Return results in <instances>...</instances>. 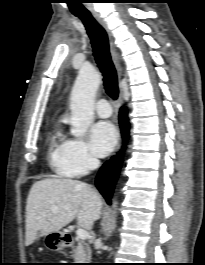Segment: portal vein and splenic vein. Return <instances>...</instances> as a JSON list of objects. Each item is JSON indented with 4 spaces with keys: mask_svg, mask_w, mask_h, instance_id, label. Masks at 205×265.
<instances>
[{
    "mask_svg": "<svg viewBox=\"0 0 205 265\" xmlns=\"http://www.w3.org/2000/svg\"><path fill=\"white\" fill-rule=\"evenodd\" d=\"M76 234L80 240H85L89 236L88 232L84 229H78Z\"/></svg>",
    "mask_w": 205,
    "mask_h": 265,
    "instance_id": "obj_1",
    "label": "portal vein and splenic vein"
}]
</instances>
